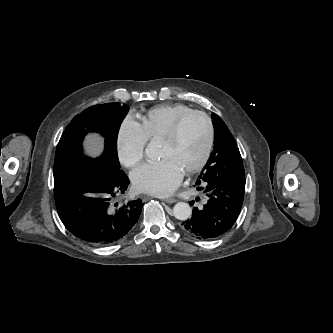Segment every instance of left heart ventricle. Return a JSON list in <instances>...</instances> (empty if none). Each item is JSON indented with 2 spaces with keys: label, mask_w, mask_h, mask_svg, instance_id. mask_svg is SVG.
Instances as JSON below:
<instances>
[{
  "label": "left heart ventricle",
  "mask_w": 333,
  "mask_h": 333,
  "mask_svg": "<svg viewBox=\"0 0 333 333\" xmlns=\"http://www.w3.org/2000/svg\"><path fill=\"white\" fill-rule=\"evenodd\" d=\"M207 125L201 117L189 118L181 127L176 141L161 142V158H171L185 171L197 163L207 143Z\"/></svg>",
  "instance_id": "obj_1"
}]
</instances>
